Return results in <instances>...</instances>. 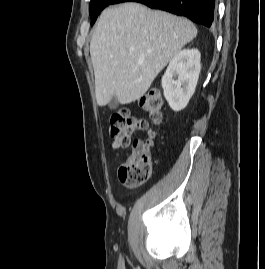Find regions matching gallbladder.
<instances>
[{
	"instance_id": "gallbladder-1",
	"label": "gallbladder",
	"mask_w": 265,
	"mask_h": 269,
	"mask_svg": "<svg viewBox=\"0 0 265 269\" xmlns=\"http://www.w3.org/2000/svg\"><path fill=\"white\" fill-rule=\"evenodd\" d=\"M118 105H119V102L116 99V97H112V99L110 100V102L108 104L110 109H115Z\"/></svg>"
}]
</instances>
